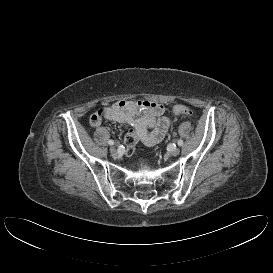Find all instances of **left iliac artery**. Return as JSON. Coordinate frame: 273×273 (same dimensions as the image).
Instances as JSON below:
<instances>
[{"label": "left iliac artery", "mask_w": 273, "mask_h": 273, "mask_svg": "<svg viewBox=\"0 0 273 273\" xmlns=\"http://www.w3.org/2000/svg\"><path fill=\"white\" fill-rule=\"evenodd\" d=\"M177 144H178L179 146H182V145H183V141L180 139V140H178Z\"/></svg>", "instance_id": "1"}]
</instances>
